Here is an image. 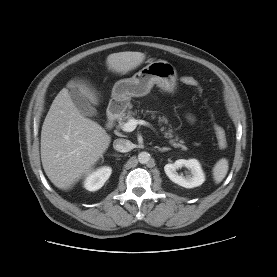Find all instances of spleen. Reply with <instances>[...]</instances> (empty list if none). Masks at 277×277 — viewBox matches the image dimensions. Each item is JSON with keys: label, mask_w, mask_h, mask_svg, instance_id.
Wrapping results in <instances>:
<instances>
[{"label": "spleen", "mask_w": 277, "mask_h": 277, "mask_svg": "<svg viewBox=\"0 0 277 277\" xmlns=\"http://www.w3.org/2000/svg\"><path fill=\"white\" fill-rule=\"evenodd\" d=\"M228 160L226 158H222L213 167V178L215 183H220L225 178L228 172Z\"/></svg>", "instance_id": "1"}]
</instances>
